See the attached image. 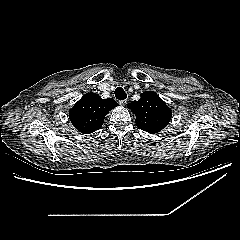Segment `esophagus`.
I'll list each match as a JSON object with an SVG mask.
<instances>
[{
	"mask_svg": "<svg viewBox=\"0 0 240 240\" xmlns=\"http://www.w3.org/2000/svg\"><path fill=\"white\" fill-rule=\"evenodd\" d=\"M119 104H120L121 106H125V105L127 104V100H126V99L120 100V101H119Z\"/></svg>",
	"mask_w": 240,
	"mask_h": 240,
	"instance_id": "obj_1",
	"label": "esophagus"
}]
</instances>
